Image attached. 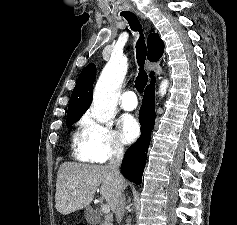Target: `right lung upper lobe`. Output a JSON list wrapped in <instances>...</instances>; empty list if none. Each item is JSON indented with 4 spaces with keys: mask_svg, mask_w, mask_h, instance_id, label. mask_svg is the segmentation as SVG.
<instances>
[{
    "mask_svg": "<svg viewBox=\"0 0 237 225\" xmlns=\"http://www.w3.org/2000/svg\"><path fill=\"white\" fill-rule=\"evenodd\" d=\"M148 59L151 62L158 61L164 52V43L160 37L152 33L147 39ZM154 73H150L151 83L155 82ZM96 77V66L88 64L80 73L76 86L73 89L67 114L74 112H86L91 103L93 83Z\"/></svg>",
    "mask_w": 237,
    "mask_h": 225,
    "instance_id": "cb5924a9",
    "label": "right lung upper lobe"
}]
</instances>
